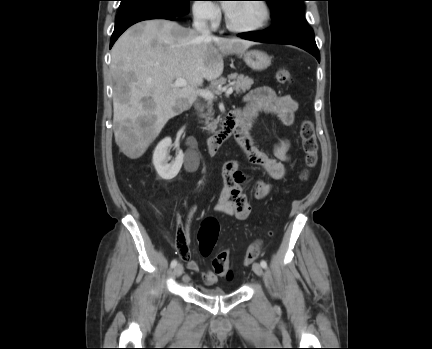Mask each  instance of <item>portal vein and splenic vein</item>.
<instances>
[{"label": "portal vein and splenic vein", "instance_id": "1", "mask_svg": "<svg viewBox=\"0 0 432 349\" xmlns=\"http://www.w3.org/2000/svg\"><path fill=\"white\" fill-rule=\"evenodd\" d=\"M187 85V81L184 78L178 77L174 84L173 87H184ZM234 88L233 87H229L225 90V95H231L233 93ZM198 93L206 98V99H213L214 98V94L209 91V90H199Z\"/></svg>", "mask_w": 432, "mask_h": 349}]
</instances>
